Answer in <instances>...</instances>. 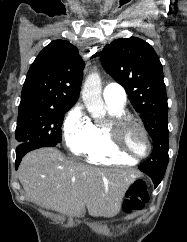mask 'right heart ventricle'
I'll return each instance as SVG.
<instances>
[{
	"label": "right heart ventricle",
	"mask_w": 187,
	"mask_h": 242,
	"mask_svg": "<svg viewBox=\"0 0 187 242\" xmlns=\"http://www.w3.org/2000/svg\"><path fill=\"white\" fill-rule=\"evenodd\" d=\"M111 117L125 115V108L108 107ZM96 139L93 145L87 150L86 160L95 165H133L135 162L129 158L116 153L108 140L105 125L95 126Z\"/></svg>",
	"instance_id": "obj_1"
}]
</instances>
